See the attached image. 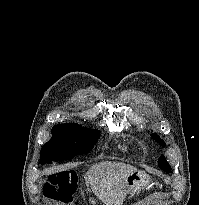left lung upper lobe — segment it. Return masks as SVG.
<instances>
[{
	"label": "left lung upper lobe",
	"instance_id": "1",
	"mask_svg": "<svg viewBox=\"0 0 199 205\" xmlns=\"http://www.w3.org/2000/svg\"><path fill=\"white\" fill-rule=\"evenodd\" d=\"M152 137L154 140L159 142V144H161L162 146H165V143L163 142L162 139H160V137L157 134H153ZM158 166L167 173L171 172V167L163 155L160 156L158 159Z\"/></svg>",
	"mask_w": 199,
	"mask_h": 205
}]
</instances>
